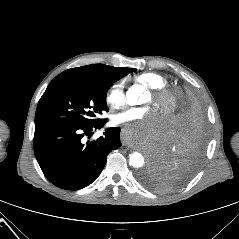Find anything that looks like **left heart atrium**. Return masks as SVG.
Here are the masks:
<instances>
[{
  "instance_id": "left-heart-atrium-1",
  "label": "left heart atrium",
  "mask_w": 239,
  "mask_h": 239,
  "mask_svg": "<svg viewBox=\"0 0 239 239\" xmlns=\"http://www.w3.org/2000/svg\"><path fill=\"white\" fill-rule=\"evenodd\" d=\"M116 125L138 121V127H128L127 133L131 141H136L142 133H152L157 125V116L149 107L128 108L112 116Z\"/></svg>"
}]
</instances>
